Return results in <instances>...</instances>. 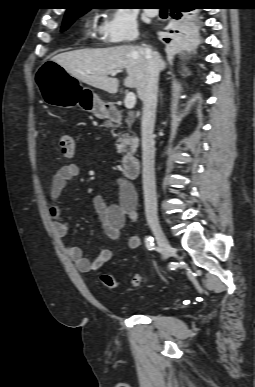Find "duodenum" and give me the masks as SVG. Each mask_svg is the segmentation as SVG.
Wrapping results in <instances>:
<instances>
[{
	"label": "duodenum",
	"mask_w": 255,
	"mask_h": 387,
	"mask_svg": "<svg viewBox=\"0 0 255 387\" xmlns=\"http://www.w3.org/2000/svg\"><path fill=\"white\" fill-rule=\"evenodd\" d=\"M106 114L109 118L120 120L122 118L120 112L115 108H108ZM140 160L136 154H129L122 160V169L124 175L130 179L136 178L140 173Z\"/></svg>",
	"instance_id": "1"
}]
</instances>
